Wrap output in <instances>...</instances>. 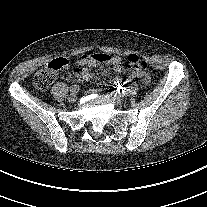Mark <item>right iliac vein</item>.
<instances>
[{"mask_svg":"<svg viewBox=\"0 0 207 207\" xmlns=\"http://www.w3.org/2000/svg\"><path fill=\"white\" fill-rule=\"evenodd\" d=\"M68 100L70 102H75L77 100V93H71V95L69 96Z\"/></svg>","mask_w":207,"mask_h":207,"instance_id":"obj_1","label":"right iliac vein"}]
</instances>
